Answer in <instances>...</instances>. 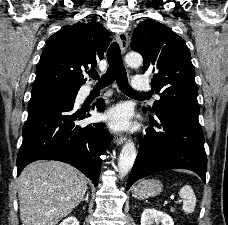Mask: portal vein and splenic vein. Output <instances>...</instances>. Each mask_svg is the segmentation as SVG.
Returning <instances> with one entry per match:
<instances>
[{
  "instance_id": "obj_1",
  "label": "portal vein and splenic vein",
  "mask_w": 228,
  "mask_h": 225,
  "mask_svg": "<svg viewBox=\"0 0 228 225\" xmlns=\"http://www.w3.org/2000/svg\"><path fill=\"white\" fill-rule=\"evenodd\" d=\"M174 201V196L173 195H167V199L162 200V205L163 207H168V203ZM175 205H180V200H175Z\"/></svg>"
}]
</instances>
